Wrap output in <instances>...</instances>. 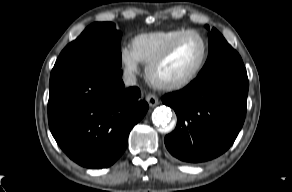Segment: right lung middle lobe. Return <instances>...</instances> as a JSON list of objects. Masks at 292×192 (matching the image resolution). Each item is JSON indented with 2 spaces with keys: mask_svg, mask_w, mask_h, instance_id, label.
Returning a JSON list of instances; mask_svg holds the SVG:
<instances>
[{
  "mask_svg": "<svg viewBox=\"0 0 292 192\" xmlns=\"http://www.w3.org/2000/svg\"><path fill=\"white\" fill-rule=\"evenodd\" d=\"M121 32L111 22H96L68 44L60 53L62 57H102L121 66Z\"/></svg>",
  "mask_w": 292,
  "mask_h": 192,
  "instance_id": "obj_1",
  "label": "right lung middle lobe"
}]
</instances>
